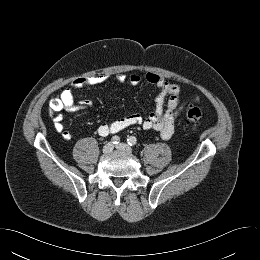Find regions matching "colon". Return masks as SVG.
Returning <instances> with one entry per match:
<instances>
[{
	"mask_svg": "<svg viewBox=\"0 0 260 260\" xmlns=\"http://www.w3.org/2000/svg\"><path fill=\"white\" fill-rule=\"evenodd\" d=\"M62 108H63V104L61 100L54 98L50 101V110L52 112H57ZM201 119H202V111L200 108L196 106H189L186 109V121L190 127L192 128L197 127L200 124Z\"/></svg>",
	"mask_w": 260,
	"mask_h": 260,
	"instance_id": "5ec220e1",
	"label": "colon"
}]
</instances>
